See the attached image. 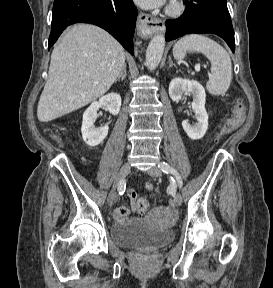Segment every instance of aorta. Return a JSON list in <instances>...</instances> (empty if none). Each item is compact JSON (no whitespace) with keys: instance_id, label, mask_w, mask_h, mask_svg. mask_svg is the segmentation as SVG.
<instances>
[{"instance_id":"obj_1","label":"aorta","mask_w":273,"mask_h":288,"mask_svg":"<svg viewBox=\"0 0 273 288\" xmlns=\"http://www.w3.org/2000/svg\"><path fill=\"white\" fill-rule=\"evenodd\" d=\"M165 48V37L158 34L152 38L146 50V65L149 70L158 67Z\"/></svg>"}]
</instances>
